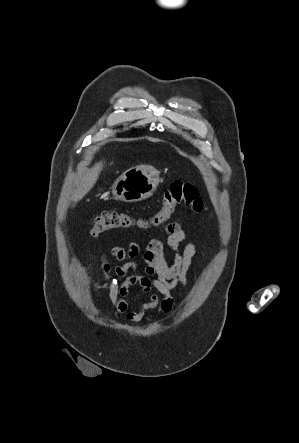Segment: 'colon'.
Returning <instances> with one entry per match:
<instances>
[{
  "mask_svg": "<svg viewBox=\"0 0 299 443\" xmlns=\"http://www.w3.org/2000/svg\"><path fill=\"white\" fill-rule=\"evenodd\" d=\"M180 205L189 207L195 213H202L204 210V203L197 188L193 184L176 180L165 191L161 207L149 220V224L160 226L166 223ZM135 224L136 220L126 212L104 211L94 219L90 234L97 237L104 232L129 228Z\"/></svg>",
  "mask_w": 299,
  "mask_h": 443,
  "instance_id": "obj_1",
  "label": "colon"
}]
</instances>
